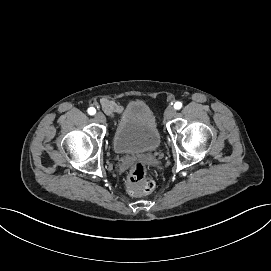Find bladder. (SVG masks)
I'll use <instances>...</instances> for the list:
<instances>
[{"instance_id":"31cf9c89","label":"bladder","mask_w":271,"mask_h":271,"mask_svg":"<svg viewBox=\"0 0 271 271\" xmlns=\"http://www.w3.org/2000/svg\"><path fill=\"white\" fill-rule=\"evenodd\" d=\"M112 143L117 155L158 150L161 135L152 112L144 103L132 102L128 105L126 114L115 128Z\"/></svg>"}]
</instances>
